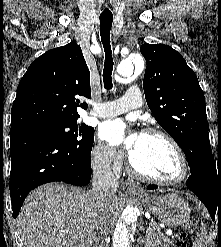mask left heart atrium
I'll list each match as a JSON object with an SVG mask.
<instances>
[{
    "label": "left heart atrium",
    "mask_w": 221,
    "mask_h": 247,
    "mask_svg": "<svg viewBox=\"0 0 221 247\" xmlns=\"http://www.w3.org/2000/svg\"><path fill=\"white\" fill-rule=\"evenodd\" d=\"M141 133L130 132L126 124L121 119H114L105 122L100 130L101 140L114 146H123L129 152L134 148L136 141Z\"/></svg>",
    "instance_id": "left-heart-atrium-1"
}]
</instances>
